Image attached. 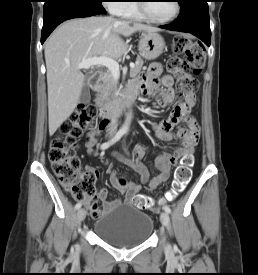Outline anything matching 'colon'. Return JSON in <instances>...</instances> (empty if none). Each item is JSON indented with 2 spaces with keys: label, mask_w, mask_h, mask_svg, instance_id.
Masks as SVG:
<instances>
[{
  "label": "colon",
  "mask_w": 258,
  "mask_h": 275,
  "mask_svg": "<svg viewBox=\"0 0 258 275\" xmlns=\"http://www.w3.org/2000/svg\"><path fill=\"white\" fill-rule=\"evenodd\" d=\"M173 51L176 56L167 61L166 68L177 79L175 94L186 99L199 88V82L194 76L199 74L204 66L205 52L195 41L182 35L175 37ZM96 115L97 110L94 106L78 108L61 125L59 135L52 140L50 145L49 160L54 174L61 186L81 202L96 194V173L90 170H80L81 164L76 154L77 139L89 127ZM192 165L193 158L191 153H188L176 168L171 188L166 196L160 199V205L173 200L185 189L191 178ZM119 185L124 187L126 181L119 180ZM133 202L142 210L156 209L153 200L146 195L135 196Z\"/></svg>",
  "instance_id": "1"
}]
</instances>
